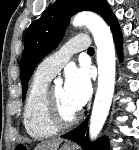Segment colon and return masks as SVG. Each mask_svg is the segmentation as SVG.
Here are the masks:
<instances>
[{"instance_id": "colon-1", "label": "colon", "mask_w": 139, "mask_h": 150, "mask_svg": "<svg viewBox=\"0 0 139 150\" xmlns=\"http://www.w3.org/2000/svg\"><path fill=\"white\" fill-rule=\"evenodd\" d=\"M16 150H27L25 147H18Z\"/></svg>"}]
</instances>
